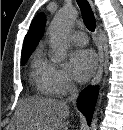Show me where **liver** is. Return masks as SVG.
<instances>
[{
	"label": "liver",
	"instance_id": "6515ba94",
	"mask_svg": "<svg viewBox=\"0 0 123 130\" xmlns=\"http://www.w3.org/2000/svg\"><path fill=\"white\" fill-rule=\"evenodd\" d=\"M68 116L65 102L32 96L19 103L7 130H61Z\"/></svg>",
	"mask_w": 123,
	"mask_h": 130
}]
</instances>
